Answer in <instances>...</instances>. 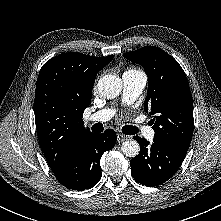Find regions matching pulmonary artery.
<instances>
[{
    "mask_svg": "<svg viewBox=\"0 0 221 221\" xmlns=\"http://www.w3.org/2000/svg\"><path fill=\"white\" fill-rule=\"evenodd\" d=\"M146 75L142 72H129L126 71L122 75L123 81V102L130 104L135 101L139 95L142 93L146 85ZM114 115V110L110 108L102 109L96 113L90 115L87 118V123L93 122H105L112 118ZM143 135L148 140H153L154 131L149 128L143 129Z\"/></svg>",
    "mask_w": 221,
    "mask_h": 221,
    "instance_id": "1",
    "label": "pulmonary artery"
}]
</instances>
